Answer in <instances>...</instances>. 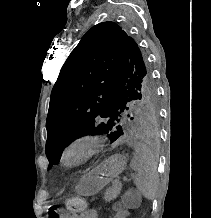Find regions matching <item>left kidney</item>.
<instances>
[{"mask_svg":"<svg viewBox=\"0 0 211 218\" xmlns=\"http://www.w3.org/2000/svg\"><path fill=\"white\" fill-rule=\"evenodd\" d=\"M113 215L116 218H132L133 207H128V198H119V202H113Z\"/></svg>","mask_w":211,"mask_h":218,"instance_id":"obj_1","label":"left kidney"}]
</instances>
